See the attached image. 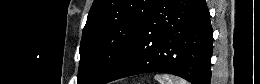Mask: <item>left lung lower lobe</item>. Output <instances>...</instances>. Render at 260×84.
I'll use <instances>...</instances> for the list:
<instances>
[{
	"mask_svg": "<svg viewBox=\"0 0 260 84\" xmlns=\"http://www.w3.org/2000/svg\"><path fill=\"white\" fill-rule=\"evenodd\" d=\"M212 27L205 0H157L129 48L102 83L166 72L210 84Z\"/></svg>",
	"mask_w": 260,
	"mask_h": 84,
	"instance_id": "0a47b994",
	"label": "left lung lower lobe"
}]
</instances>
